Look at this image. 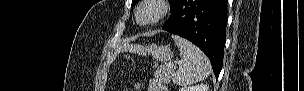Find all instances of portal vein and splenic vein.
Masks as SVG:
<instances>
[{"instance_id": "1", "label": "portal vein and splenic vein", "mask_w": 304, "mask_h": 91, "mask_svg": "<svg viewBox=\"0 0 304 91\" xmlns=\"http://www.w3.org/2000/svg\"><path fill=\"white\" fill-rule=\"evenodd\" d=\"M167 66H168L169 68H171V69L174 67V65L171 64V63H169Z\"/></svg>"}]
</instances>
